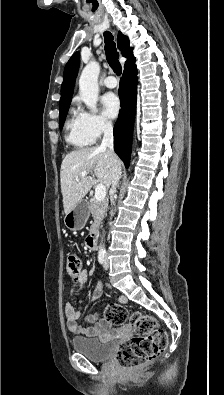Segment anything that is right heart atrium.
I'll list each match as a JSON object with an SVG mask.
<instances>
[{
  "label": "right heart atrium",
  "mask_w": 224,
  "mask_h": 395,
  "mask_svg": "<svg viewBox=\"0 0 224 395\" xmlns=\"http://www.w3.org/2000/svg\"><path fill=\"white\" fill-rule=\"evenodd\" d=\"M84 129L95 140L112 128V123L104 115L80 109L78 112Z\"/></svg>",
  "instance_id": "d8ad5b80"
}]
</instances>
